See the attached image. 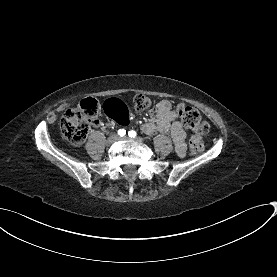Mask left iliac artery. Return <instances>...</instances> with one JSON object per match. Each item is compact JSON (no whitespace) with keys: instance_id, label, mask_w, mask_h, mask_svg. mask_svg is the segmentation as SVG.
Here are the masks:
<instances>
[{"instance_id":"obj_1","label":"left iliac artery","mask_w":277,"mask_h":277,"mask_svg":"<svg viewBox=\"0 0 277 277\" xmlns=\"http://www.w3.org/2000/svg\"><path fill=\"white\" fill-rule=\"evenodd\" d=\"M128 135H129V137L134 138V137L137 136V133H136L134 130H130V131L128 132Z\"/></svg>"}]
</instances>
